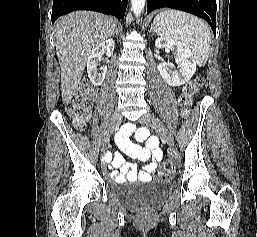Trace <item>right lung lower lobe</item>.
Listing matches in <instances>:
<instances>
[{"label":"right lung lower lobe","instance_id":"right-lung-lower-lobe-1","mask_svg":"<svg viewBox=\"0 0 257 237\" xmlns=\"http://www.w3.org/2000/svg\"><path fill=\"white\" fill-rule=\"evenodd\" d=\"M128 0H53L52 24L67 13L76 10H90L124 18Z\"/></svg>","mask_w":257,"mask_h":237}]
</instances>
